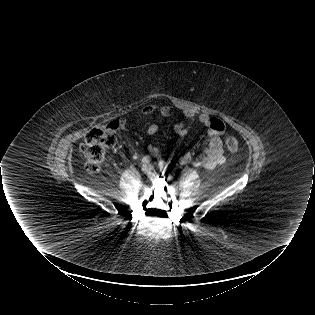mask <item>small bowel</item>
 Masks as SVG:
<instances>
[{
    "instance_id": "1",
    "label": "small bowel",
    "mask_w": 315,
    "mask_h": 315,
    "mask_svg": "<svg viewBox=\"0 0 315 315\" xmlns=\"http://www.w3.org/2000/svg\"><path fill=\"white\" fill-rule=\"evenodd\" d=\"M173 112V107L166 104L148 105L143 107L141 110V113L143 115L158 113L163 117H168L172 115ZM184 117L185 119L183 121L175 124L173 127L174 132L180 136H185L188 133L189 125L194 120V115L189 111L184 112ZM198 121L205 127L209 136L207 146L204 150V155L196 157L188 151L180 157V162L182 164H192L195 167H201L211 170L219 165L224 164L226 161L223 143L221 140V135L225 130V125L220 119L212 118L208 114H201L198 117ZM113 122H116L119 125V129H125L127 127V120L125 119ZM158 129V125L152 123L147 128V134L154 135L155 133H157ZM148 150L149 153L153 156H157L159 154V149L155 145H149Z\"/></svg>"
}]
</instances>
